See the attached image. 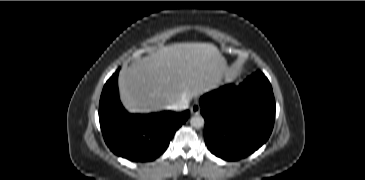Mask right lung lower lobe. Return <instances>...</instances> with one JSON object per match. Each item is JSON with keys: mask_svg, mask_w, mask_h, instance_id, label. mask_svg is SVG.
<instances>
[{"mask_svg": "<svg viewBox=\"0 0 365 180\" xmlns=\"http://www.w3.org/2000/svg\"><path fill=\"white\" fill-rule=\"evenodd\" d=\"M117 70L106 82L99 103V121L107 146L116 155L135 162L152 161L168 147L189 111L129 114L118 94Z\"/></svg>", "mask_w": 365, "mask_h": 180, "instance_id": "obj_1", "label": "right lung lower lobe"}]
</instances>
